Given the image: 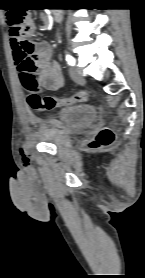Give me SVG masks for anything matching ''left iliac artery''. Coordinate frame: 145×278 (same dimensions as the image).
Wrapping results in <instances>:
<instances>
[{
	"label": "left iliac artery",
	"mask_w": 145,
	"mask_h": 278,
	"mask_svg": "<svg viewBox=\"0 0 145 278\" xmlns=\"http://www.w3.org/2000/svg\"><path fill=\"white\" fill-rule=\"evenodd\" d=\"M66 61L70 66L75 65V59L69 54L66 55Z\"/></svg>",
	"instance_id": "left-iliac-artery-1"
}]
</instances>
